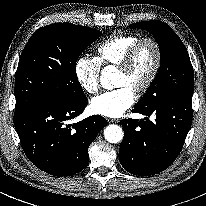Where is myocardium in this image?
<instances>
[{
	"label": "myocardium",
	"instance_id": "1",
	"mask_svg": "<svg viewBox=\"0 0 206 206\" xmlns=\"http://www.w3.org/2000/svg\"><path fill=\"white\" fill-rule=\"evenodd\" d=\"M144 43H149L152 45L155 52V59L148 78L141 85L134 88V91L139 94L147 91L155 82L159 74L162 63V49L159 42L155 38L150 36H144L139 38L129 49L122 64L118 67L120 72L128 74L132 70L138 52Z\"/></svg>",
	"mask_w": 206,
	"mask_h": 206
}]
</instances>
